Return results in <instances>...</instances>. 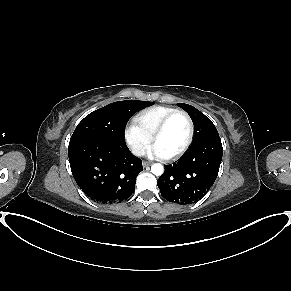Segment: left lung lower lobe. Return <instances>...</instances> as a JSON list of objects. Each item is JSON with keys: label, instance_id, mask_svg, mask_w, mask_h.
Returning <instances> with one entry per match:
<instances>
[{"label": "left lung lower lobe", "instance_id": "left-lung-lower-lobe-1", "mask_svg": "<svg viewBox=\"0 0 291 291\" xmlns=\"http://www.w3.org/2000/svg\"><path fill=\"white\" fill-rule=\"evenodd\" d=\"M223 148L220 137L191 145L189 151L157 180L161 195L169 202L182 205L200 200L215 182Z\"/></svg>", "mask_w": 291, "mask_h": 291}]
</instances>
